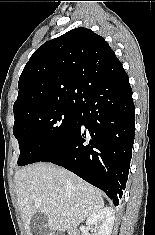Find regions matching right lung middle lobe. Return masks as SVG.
Listing matches in <instances>:
<instances>
[{
    "label": "right lung middle lobe",
    "mask_w": 155,
    "mask_h": 235,
    "mask_svg": "<svg viewBox=\"0 0 155 235\" xmlns=\"http://www.w3.org/2000/svg\"><path fill=\"white\" fill-rule=\"evenodd\" d=\"M78 126V107L58 105L26 111L15 118L20 147L18 165L39 162L62 146Z\"/></svg>",
    "instance_id": "right-lung-middle-lobe-1"
}]
</instances>
